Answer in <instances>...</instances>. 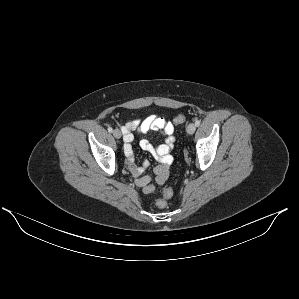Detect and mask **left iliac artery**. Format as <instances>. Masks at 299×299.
<instances>
[{
  "label": "left iliac artery",
  "instance_id": "1",
  "mask_svg": "<svg viewBox=\"0 0 299 299\" xmlns=\"http://www.w3.org/2000/svg\"><path fill=\"white\" fill-rule=\"evenodd\" d=\"M195 125H196V126H199V125H200V121H199V120H196V121H195Z\"/></svg>",
  "mask_w": 299,
  "mask_h": 299
}]
</instances>
